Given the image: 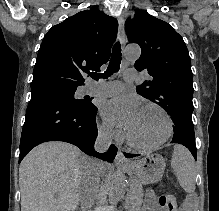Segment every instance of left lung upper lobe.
Here are the masks:
<instances>
[{
    "mask_svg": "<svg viewBox=\"0 0 219 211\" xmlns=\"http://www.w3.org/2000/svg\"><path fill=\"white\" fill-rule=\"evenodd\" d=\"M125 27L129 42L141 47L134 67L151 76L136 87L137 93L161 106L171 116L174 130L194 129L191 59L183 38L171 25L142 10Z\"/></svg>",
    "mask_w": 219,
    "mask_h": 211,
    "instance_id": "obj_1",
    "label": "left lung upper lobe"
}]
</instances>
